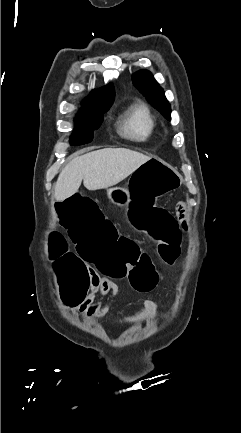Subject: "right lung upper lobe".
I'll use <instances>...</instances> for the list:
<instances>
[{
  "instance_id": "right-lung-upper-lobe-1",
  "label": "right lung upper lobe",
  "mask_w": 241,
  "mask_h": 433,
  "mask_svg": "<svg viewBox=\"0 0 241 433\" xmlns=\"http://www.w3.org/2000/svg\"><path fill=\"white\" fill-rule=\"evenodd\" d=\"M114 99V87L112 84H108L98 91H93L89 97L85 100L83 105L94 106L98 108H104L110 106Z\"/></svg>"
}]
</instances>
